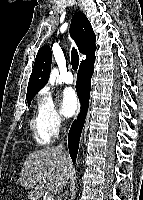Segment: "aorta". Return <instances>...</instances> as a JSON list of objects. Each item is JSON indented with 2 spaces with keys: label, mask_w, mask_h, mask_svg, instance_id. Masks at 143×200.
Returning a JSON list of instances; mask_svg holds the SVG:
<instances>
[{
  "label": "aorta",
  "mask_w": 143,
  "mask_h": 200,
  "mask_svg": "<svg viewBox=\"0 0 143 200\" xmlns=\"http://www.w3.org/2000/svg\"><path fill=\"white\" fill-rule=\"evenodd\" d=\"M57 76H58V70L56 68L52 69L50 78H49V83L51 85H54Z\"/></svg>",
  "instance_id": "obj_1"
}]
</instances>
